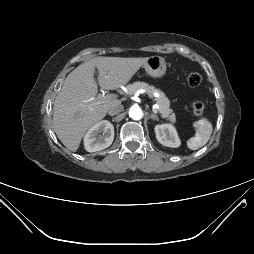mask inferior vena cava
<instances>
[{"mask_svg":"<svg viewBox=\"0 0 254 254\" xmlns=\"http://www.w3.org/2000/svg\"><path fill=\"white\" fill-rule=\"evenodd\" d=\"M121 111H123V105L121 104H114L112 105L109 109H108V114L110 116H114L118 113H120Z\"/></svg>","mask_w":254,"mask_h":254,"instance_id":"obj_1","label":"inferior vena cava"}]
</instances>
